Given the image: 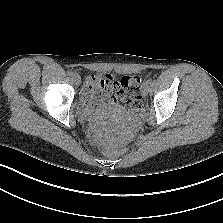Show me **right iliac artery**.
Masks as SVG:
<instances>
[{
	"label": "right iliac artery",
	"instance_id": "right-iliac-artery-1",
	"mask_svg": "<svg viewBox=\"0 0 223 223\" xmlns=\"http://www.w3.org/2000/svg\"><path fill=\"white\" fill-rule=\"evenodd\" d=\"M67 73H68L69 76H73L74 75V72H72V71H68Z\"/></svg>",
	"mask_w": 223,
	"mask_h": 223
}]
</instances>
